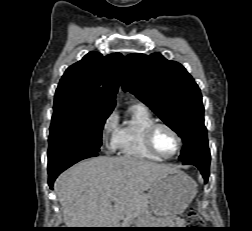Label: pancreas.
I'll return each mask as SVG.
<instances>
[{"label": "pancreas", "instance_id": "1", "mask_svg": "<svg viewBox=\"0 0 252 231\" xmlns=\"http://www.w3.org/2000/svg\"><path fill=\"white\" fill-rule=\"evenodd\" d=\"M147 200H148V197L146 195H141L137 201V204L139 207H143V206H146L147 205ZM144 222L145 223H151V220L148 218V217H144Z\"/></svg>", "mask_w": 252, "mask_h": 231}]
</instances>
